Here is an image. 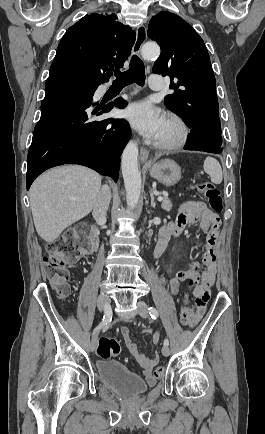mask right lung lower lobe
I'll list each match as a JSON object with an SVG mask.
<instances>
[{
  "mask_svg": "<svg viewBox=\"0 0 265 434\" xmlns=\"http://www.w3.org/2000/svg\"><path fill=\"white\" fill-rule=\"evenodd\" d=\"M104 82L48 77L28 152L27 190L42 172L62 164L84 165L117 181L120 156L131 130L123 119L97 118L127 104L122 98L93 103L94 92Z\"/></svg>",
  "mask_w": 265,
  "mask_h": 434,
  "instance_id": "obj_1",
  "label": "right lung lower lobe"
}]
</instances>
